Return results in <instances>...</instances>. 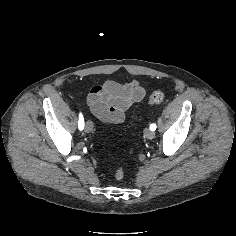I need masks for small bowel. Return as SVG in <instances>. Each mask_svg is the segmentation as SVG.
<instances>
[{"label": "small bowel", "instance_id": "obj_1", "mask_svg": "<svg viewBox=\"0 0 236 236\" xmlns=\"http://www.w3.org/2000/svg\"><path fill=\"white\" fill-rule=\"evenodd\" d=\"M145 96V89L136 80L120 84L106 81L94 86L87 97L92 113L101 121L120 124L125 119V112Z\"/></svg>", "mask_w": 236, "mask_h": 236}]
</instances>
